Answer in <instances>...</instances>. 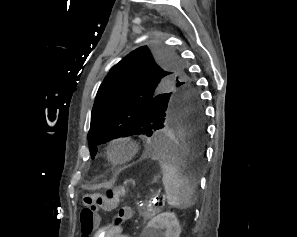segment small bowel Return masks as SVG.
<instances>
[{
    "label": "small bowel",
    "mask_w": 297,
    "mask_h": 237,
    "mask_svg": "<svg viewBox=\"0 0 297 237\" xmlns=\"http://www.w3.org/2000/svg\"><path fill=\"white\" fill-rule=\"evenodd\" d=\"M94 237H129L124 234L120 227L117 225H108L100 228L94 235Z\"/></svg>",
    "instance_id": "c3829d8e"
}]
</instances>
